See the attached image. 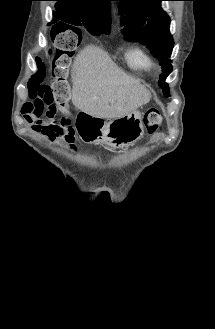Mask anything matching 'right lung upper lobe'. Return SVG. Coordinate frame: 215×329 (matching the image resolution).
<instances>
[{
    "label": "right lung upper lobe",
    "instance_id": "1",
    "mask_svg": "<svg viewBox=\"0 0 215 329\" xmlns=\"http://www.w3.org/2000/svg\"><path fill=\"white\" fill-rule=\"evenodd\" d=\"M56 12L54 22L62 20L69 23L70 17H81L85 22H91L110 33V6L111 0H55ZM60 22L62 24H65Z\"/></svg>",
    "mask_w": 215,
    "mask_h": 329
}]
</instances>
